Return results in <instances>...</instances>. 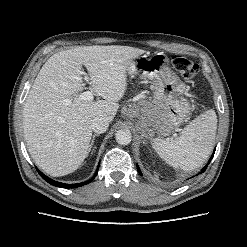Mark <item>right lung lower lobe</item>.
<instances>
[{"instance_id": "98d812e1", "label": "right lung lower lobe", "mask_w": 247, "mask_h": 247, "mask_svg": "<svg viewBox=\"0 0 247 247\" xmlns=\"http://www.w3.org/2000/svg\"><path fill=\"white\" fill-rule=\"evenodd\" d=\"M98 168H99V166H98ZM98 168L96 170L95 175L90 180L82 182V183H77V184H65V183L54 181V180L50 179L49 177H47L46 175H44L42 172H40L37 168L36 169H37L38 173L41 175V177L45 181L50 183L51 185H54V186H57V187H61V188H76V187H80V186H83V185H86V184L90 183L96 177L97 172H98Z\"/></svg>"}]
</instances>
